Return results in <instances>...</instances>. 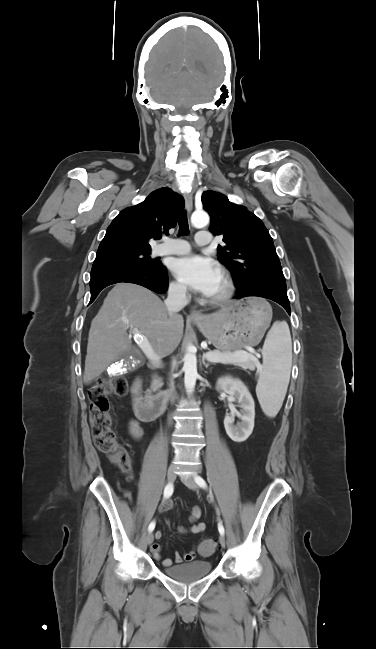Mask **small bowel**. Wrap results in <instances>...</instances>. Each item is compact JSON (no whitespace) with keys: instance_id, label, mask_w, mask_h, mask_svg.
Wrapping results in <instances>:
<instances>
[{"instance_id":"obj_1","label":"small bowel","mask_w":376,"mask_h":649,"mask_svg":"<svg viewBox=\"0 0 376 649\" xmlns=\"http://www.w3.org/2000/svg\"><path fill=\"white\" fill-rule=\"evenodd\" d=\"M128 433L129 435L137 440L141 438L143 431L136 420H130L128 423ZM124 497L128 498L129 500L131 499V493L127 490L123 492ZM174 506L173 501L168 499L163 503V509L165 510H170ZM202 515L201 509L197 506L192 508L191 514H190V521L193 522V524L190 527H179V532L180 533H192V534H200L202 533L205 528L206 524L204 522H196ZM162 537V533L160 531H157L155 533V538L160 539ZM151 551L153 554V557L156 560H161V564L165 567H169L173 564V562L180 564L182 562H190L194 560L196 553L195 550L192 549L191 551L181 554L180 552H176L174 559L170 558H165L161 559V553H160V545L158 543H154L151 546Z\"/></svg>"}]
</instances>
